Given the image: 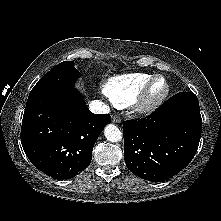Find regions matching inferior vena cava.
<instances>
[{"label": "inferior vena cava", "mask_w": 221, "mask_h": 221, "mask_svg": "<svg viewBox=\"0 0 221 221\" xmlns=\"http://www.w3.org/2000/svg\"><path fill=\"white\" fill-rule=\"evenodd\" d=\"M89 109L95 114H108L110 112L109 106L99 100L90 102Z\"/></svg>", "instance_id": "602c4592"}]
</instances>
